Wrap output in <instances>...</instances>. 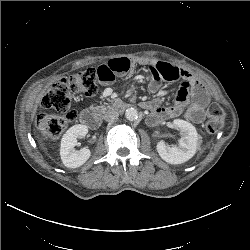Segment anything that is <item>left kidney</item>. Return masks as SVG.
Here are the masks:
<instances>
[{
    "instance_id": "left-kidney-1",
    "label": "left kidney",
    "mask_w": 250,
    "mask_h": 250,
    "mask_svg": "<svg viewBox=\"0 0 250 250\" xmlns=\"http://www.w3.org/2000/svg\"><path fill=\"white\" fill-rule=\"evenodd\" d=\"M173 124L179 128L181 134L178 146H169L164 141H160L157 143V151L159 156L167 163L181 164L195 155L200 139L196 128L191 123L175 119Z\"/></svg>"
}]
</instances>
